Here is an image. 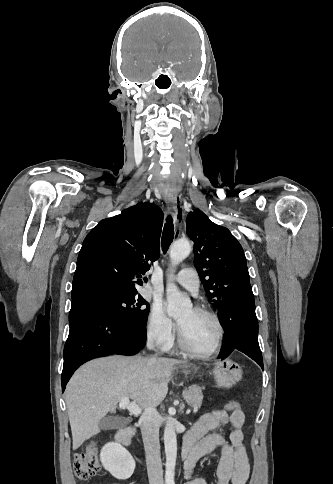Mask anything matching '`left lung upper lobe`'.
Here are the masks:
<instances>
[{
	"instance_id": "left-lung-upper-lobe-1",
	"label": "left lung upper lobe",
	"mask_w": 333,
	"mask_h": 484,
	"mask_svg": "<svg viewBox=\"0 0 333 484\" xmlns=\"http://www.w3.org/2000/svg\"><path fill=\"white\" fill-rule=\"evenodd\" d=\"M186 231L194 241L195 267L213 307L218 310L226 296L237 301L234 290L249 284L246 257L231 232L200 210L186 218Z\"/></svg>"
}]
</instances>
